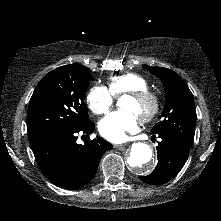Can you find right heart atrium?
Segmentation results:
<instances>
[{
  "instance_id": "obj_1",
  "label": "right heart atrium",
  "mask_w": 221,
  "mask_h": 221,
  "mask_svg": "<svg viewBox=\"0 0 221 221\" xmlns=\"http://www.w3.org/2000/svg\"><path fill=\"white\" fill-rule=\"evenodd\" d=\"M86 103L94 114H104L113 105L114 96L105 86L95 85L88 91Z\"/></svg>"
}]
</instances>
